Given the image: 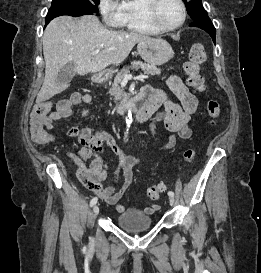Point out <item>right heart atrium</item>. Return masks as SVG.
<instances>
[{
  "mask_svg": "<svg viewBox=\"0 0 261 273\" xmlns=\"http://www.w3.org/2000/svg\"><path fill=\"white\" fill-rule=\"evenodd\" d=\"M98 7L103 20L112 26H118L120 0H99Z\"/></svg>",
  "mask_w": 261,
  "mask_h": 273,
  "instance_id": "right-heart-atrium-1",
  "label": "right heart atrium"
}]
</instances>
